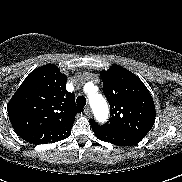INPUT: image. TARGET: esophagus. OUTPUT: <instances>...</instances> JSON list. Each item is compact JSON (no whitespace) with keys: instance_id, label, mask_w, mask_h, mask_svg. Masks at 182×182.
<instances>
[{"instance_id":"obj_1","label":"esophagus","mask_w":182,"mask_h":182,"mask_svg":"<svg viewBox=\"0 0 182 182\" xmlns=\"http://www.w3.org/2000/svg\"><path fill=\"white\" fill-rule=\"evenodd\" d=\"M84 113L86 116L90 117L92 115V111H91V108L89 106H87L85 109H84Z\"/></svg>"}]
</instances>
